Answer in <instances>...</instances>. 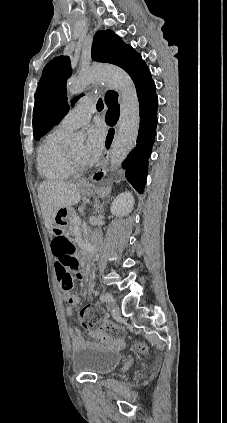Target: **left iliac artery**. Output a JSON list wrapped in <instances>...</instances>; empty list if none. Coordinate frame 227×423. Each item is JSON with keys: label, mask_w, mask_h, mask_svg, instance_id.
<instances>
[{"label": "left iliac artery", "mask_w": 227, "mask_h": 423, "mask_svg": "<svg viewBox=\"0 0 227 423\" xmlns=\"http://www.w3.org/2000/svg\"><path fill=\"white\" fill-rule=\"evenodd\" d=\"M100 300L103 302H112V295L110 293H106L100 296Z\"/></svg>", "instance_id": "left-iliac-artery-1"}]
</instances>
